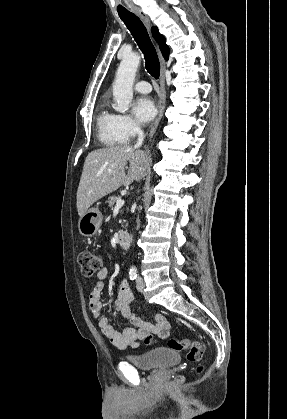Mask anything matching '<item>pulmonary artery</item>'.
Listing matches in <instances>:
<instances>
[{"instance_id":"e3ab8cb5","label":"pulmonary artery","mask_w":287,"mask_h":419,"mask_svg":"<svg viewBox=\"0 0 287 419\" xmlns=\"http://www.w3.org/2000/svg\"><path fill=\"white\" fill-rule=\"evenodd\" d=\"M134 89L140 93H149L151 91V85L146 81H140L134 85Z\"/></svg>"}]
</instances>
